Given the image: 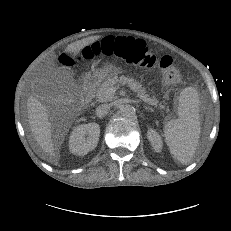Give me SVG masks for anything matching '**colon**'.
Instances as JSON below:
<instances>
[{"label": "colon", "mask_w": 231, "mask_h": 231, "mask_svg": "<svg viewBox=\"0 0 231 231\" xmlns=\"http://www.w3.org/2000/svg\"><path fill=\"white\" fill-rule=\"evenodd\" d=\"M87 50L91 52L92 57L104 55L143 68H158L163 72L167 85H176L181 80V73L175 66L173 58L156 56L147 49L145 43L140 39L127 36L107 37L101 42L91 44ZM62 61L68 65L73 63L72 58L67 54L62 55Z\"/></svg>", "instance_id": "colon-1"}]
</instances>
